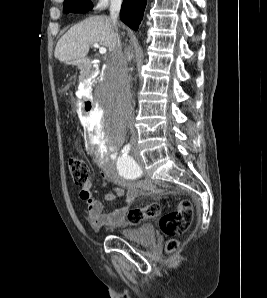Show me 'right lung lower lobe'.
I'll return each instance as SVG.
<instances>
[{
  "mask_svg": "<svg viewBox=\"0 0 267 298\" xmlns=\"http://www.w3.org/2000/svg\"><path fill=\"white\" fill-rule=\"evenodd\" d=\"M146 0H124L120 12V19L134 30L142 20Z\"/></svg>",
  "mask_w": 267,
  "mask_h": 298,
  "instance_id": "right-lung-lower-lobe-1",
  "label": "right lung lower lobe"
}]
</instances>
